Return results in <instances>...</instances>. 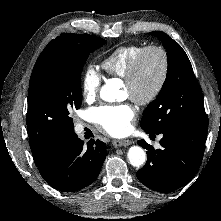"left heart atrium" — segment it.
Segmentation results:
<instances>
[{"label": "left heart atrium", "mask_w": 221, "mask_h": 221, "mask_svg": "<svg viewBox=\"0 0 221 221\" xmlns=\"http://www.w3.org/2000/svg\"><path fill=\"white\" fill-rule=\"evenodd\" d=\"M135 113V108L128 103L102 105L91 110L93 121L112 136H121L127 133Z\"/></svg>", "instance_id": "1"}]
</instances>
